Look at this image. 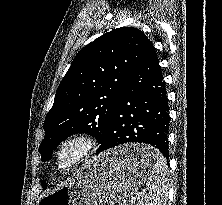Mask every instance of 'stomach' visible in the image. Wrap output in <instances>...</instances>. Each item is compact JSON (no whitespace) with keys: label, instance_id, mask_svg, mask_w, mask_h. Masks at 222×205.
<instances>
[{"label":"stomach","instance_id":"0dacf381","mask_svg":"<svg viewBox=\"0 0 222 205\" xmlns=\"http://www.w3.org/2000/svg\"><path fill=\"white\" fill-rule=\"evenodd\" d=\"M159 154L143 144L125 145L88 160L68 184L40 196L38 205H114L146 182L149 164L136 157Z\"/></svg>","mask_w":222,"mask_h":205}]
</instances>
